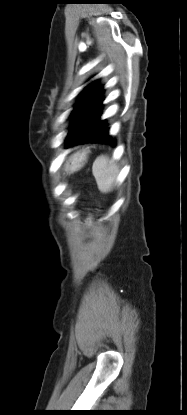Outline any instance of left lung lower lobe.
I'll use <instances>...</instances> for the list:
<instances>
[{"label":"left lung lower lobe","instance_id":"0a47b994","mask_svg":"<svg viewBox=\"0 0 187 415\" xmlns=\"http://www.w3.org/2000/svg\"><path fill=\"white\" fill-rule=\"evenodd\" d=\"M104 91L96 82L86 96L81 108L71 124L66 138V148L93 142L116 145V140L108 134L105 120L100 121Z\"/></svg>","mask_w":187,"mask_h":415}]
</instances>
